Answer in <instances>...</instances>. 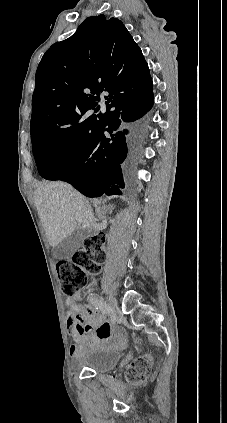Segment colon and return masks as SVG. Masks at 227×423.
<instances>
[{
    "label": "colon",
    "mask_w": 227,
    "mask_h": 423,
    "mask_svg": "<svg viewBox=\"0 0 227 423\" xmlns=\"http://www.w3.org/2000/svg\"><path fill=\"white\" fill-rule=\"evenodd\" d=\"M105 235L97 233L84 240V250L75 254L71 261L61 260L57 263V272L61 280L62 292L73 296L87 280V273L97 272L104 260L103 245ZM76 310L78 305L72 304ZM148 366L145 360H136L132 363L130 380L134 384H141L144 381Z\"/></svg>",
    "instance_id": "1"
}]
</instances>
